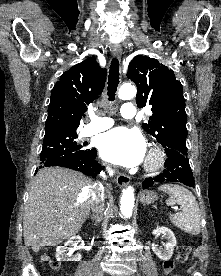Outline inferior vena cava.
<instances>
[{
  "label": "inferior vena cava",
  "instance_id": "602c4592",
  "mask_svg": "<svg viewBox=\"0 0 221 276\" xmlns=\"http://www.w3.org/2000/svg\"><path fill=\"white\" fill-rule=\"evenodd\" d=\"M110 175H113V170L110 169ZM102 177L106 178L105 174L102 172L101 173ZM104 187L102 184H98V186L95 189L93 199H92V204H91V209L93 212V215L95 217L101 218L103 211H104Z\"/></svg>",
  "mask_w": 221,
  "mask_h": 276
}]
</instances>
